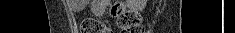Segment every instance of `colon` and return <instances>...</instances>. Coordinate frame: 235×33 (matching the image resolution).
<instances>
[{
    "label": "colon",
    "instance_id": "5ec220e1",
    "mask_svg": "<svg viewBox=\"0 0 235 33\" xmlns=\"http://www.w3.org/2000/svg\"><path fill=\"white\" fill-rule=\"evenodd\" d=\"M111 14L117 19V24L122 33L144 32L139 15L126 9L122 3L114 2L111 7ZM80 31L81 33H113L104 22L90 17L81 20Z\"/></svg>",
    "mask_w": 235,
    "mask_h": 33
}]
</instances>
